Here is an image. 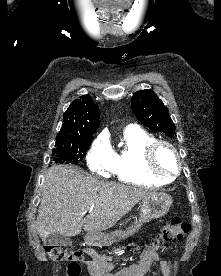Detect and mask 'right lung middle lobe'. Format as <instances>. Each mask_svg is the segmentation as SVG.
Masks as SVG:
<instances>
[{
  "label": "right lung middle lobe",
  "instance_id": "1",
  "mask_svg": "<svg viewBox=\"0 0 221 276\" xmlns=\"http://www.w3.org/2000/svg\"><path fill=\"white\" fill-rule=\"evenodd\" d=\"M92 139L80 138L56 141L52 155H55L56 163H74L76 164L87 152Z\"/></svg>",
  "mask_w": 221,
  "mask_h": 276
}]
</instances>
